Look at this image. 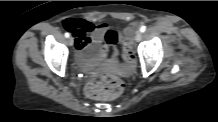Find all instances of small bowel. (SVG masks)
<instances>
[{"label":"small bowel","instance_id":"c3829d8e","mask_svg":"<svg viewBox=\"0 0 218 122\" xmlns=\"http://www.w3.org/2000/svg\"><path fill=\"white\" fill-rule=\"evenodd\" d=\"M64 27L72 32L77 51L81 53L86 50L87 55L93 59L98 54L101 45L104 44L102 41V32L108 28L106 23L94 25L89 21L78 18L66 19L64 21Z\"/></svg>","mask_w":218,"mask_h":122}]
</instances>
